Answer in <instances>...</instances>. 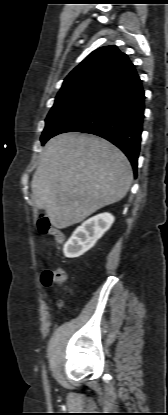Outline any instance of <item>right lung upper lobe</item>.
Returning <instances> with one entry per match:
<instances>
[{"label":"right lung upper lobe","mask_w":168,"mask_h":415,"mask_svg":"<svg viewBox=\"0 0 168 415\" xmlns=\"http://www.w3.org/2000/svg\"><path fill=\"white\" fill-rule=\"evenodd\" d=\"M134 69L128 56L116 46L98 48L70 72L57 97L78 91L102 92Z\"/></svg>","instance_id":"right-lung-upper-lobe-1"}]
</instances>
